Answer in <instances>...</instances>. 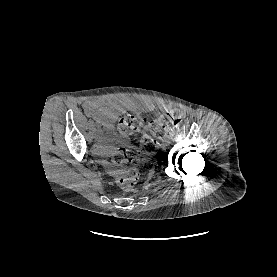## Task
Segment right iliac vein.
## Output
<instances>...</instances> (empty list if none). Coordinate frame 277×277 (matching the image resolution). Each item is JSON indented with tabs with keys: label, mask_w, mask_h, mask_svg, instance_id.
<instances>
[{
	"label": "right iliac vein",
	"mask_w": 277,
	"mask_h": 277,
	"mask_svg": "<svg viewBox=\"0 0 277 277\" xmlns=\"http://www.w3.org/2000/svg\"><path fill=\"white\" fill-rule=\"evenodd\" d=\"M95 139H99V135L96 134V135H95Z\"/></svg>",
	"instance_id": "63e3f726"
}]
</instances>
